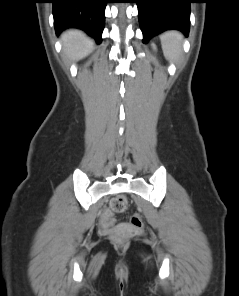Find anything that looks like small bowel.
Listing matches in <instances>:
<instances>
[{"label": "small bowel", "instance_id": "small-bowel-1", "mask_svg": "<svg viewBox=\"0 0 239 296\" xmlns=\"http://www.w3.org/2000/svg\"><path fill=\"white\" fill-rule=\"evenodd\" d=\"M114 222L113 214L110 211H106L103 216V223L105 225H112Z\"/></svg>", "mask_w": 239, "mask_h": 296}]
</instances>
